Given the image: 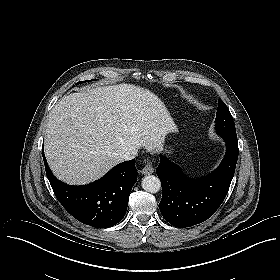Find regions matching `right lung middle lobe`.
Instances as JSON below:
<instances>
[{
    "instance_id": "obj_1",
    "label": "right lung middle lobe",
    "mask_w": 280,
    "mask_h": 280,
    "mask_svg": "<svg viewBox=\"0 0 280 280\" xmlns=\"http://www.w3.org/2000/svg\"><path fill=\"white\" fill-rule=\"evenodd\" d=\"M89 81H92V80H89ZM83 82H86V81H82V82H79V83H83ZM79 83H77V84H79Z\"/></svg>"
}]
</instances>
